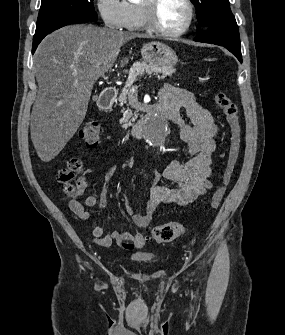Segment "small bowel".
Masks as SVG:
<instances>
[{"label":"small bowel","mask_w":285,"mask_h":335,"mask_svg":"<svg viewBox=\"0 0 285 335\" xmlns=\"http://www.w3.org/2000/svg\"><path fill=\"white\" fill-rule=\"evenodd\" d=\"M160 100L169 102L176 110L172 119L179 137L187 145V156L184 161H171L162 170H154L151 175L152 183L144 214L136 213L125 196V210L139 228H147L152 222L153 215L162 204H177L186 206L207 192L212 186L210 177L214 169L213 154L217 148L218 126L209 110L203 108L188 90L172 85H164L159 93ZM186 113L188 121L181 116ZM116 171L115 165H110L106 171V183L98 197L89 196L79 200L73 195L69 207L81 220H89L87 207H103L108 201V183ZM163 177L174 183V186L160 185ZM93 242L107 247L113 241L131 240L136 248H143L146 238L142 233L131 235L114 230L110 233L91 222Z\"/></svg>","instance_id":"c3829d8e"}]
</instances>
